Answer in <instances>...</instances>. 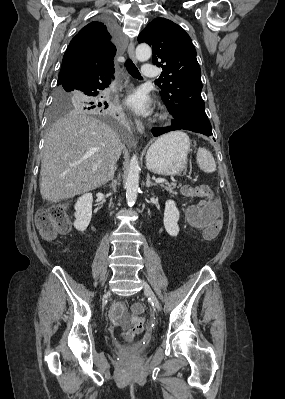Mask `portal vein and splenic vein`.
I'll return each instance as SVG.
<instances>
[{
    "instance_id": "1",
    "label": "portal vein and splenic vein",
    "mask_w": 285,
    "mask_h": 399,
    "mask_svg": "<svg viewBox=\"0 0 285 399\" xmlns=\"http://www.w3.org/2000/svg\"><path fill=\"white\" fill-rule=\"evenodd\" d=\"M92 170H93V171H96L97 168L94 167ZM155 182H156V183H164V182H166V180H165L164 178H158V179L155 180Z\"/></svg>"
}]
</instances>
